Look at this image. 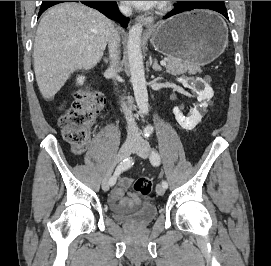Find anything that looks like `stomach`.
Masks as SVG:
<instances>
[{
    "label": "stomach",
    "mask_w": 271,
    "mask_h": 266,
    "mask_svg": "<svg viewBox=\"0 0 271 266\" xmlns=\"http://www.w3.org/2000/svg\"><path fill=\"white\" fill-rule=\"evenodd\" d=\"M150 42L168 58L202 66L223 53L228 29L216 13L195 10L156 24L150 32Z\"/></svg>",
    "instance_id": "1"
}]
</instances>
